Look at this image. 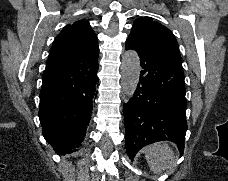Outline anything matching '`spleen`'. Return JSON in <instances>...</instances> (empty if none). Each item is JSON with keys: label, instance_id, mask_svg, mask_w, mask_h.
Wrapping results in <instances>:
<instances>
[{"label": "spleen", "instance_id": "spleen-1", "mask_svg": "<svg viewBox=\"0 0 228 181\" xmlns=\"http://www.w3.org/2000/svg\"><path fill=\"white\" fill-rule=\"evenodd\" d=\"M146 161L149 165L150 171L160 175L165 169L173 173L176 167L174 153L166 143H154L144 147Z\"/></svg>", "mask_w": 228, "mask_h": 181}]
</instances>
